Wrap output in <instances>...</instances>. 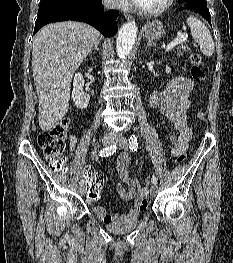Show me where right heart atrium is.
Instances as JSON below:
<instances>
[{
  "label": "right heart atrium",
  "instance_id": "right-heart-atrium-1",
  "mask_svg": "<svg viewBox=\"0 0 233 263\" xmlns=\"http://www.w3.org/2000/svg\"><path fill=\"white\" fill-rule=\"evenodd\" d=\"M104 2L112 8H123L126 5V0H104Z\"/></svg>",
  "mask_w": 233,
  "mask_h": 263
}]
</instances>
